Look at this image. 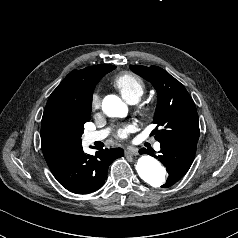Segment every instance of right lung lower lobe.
<instances>
[{
  "mask_svg": "<svg viewBox=\"0 0 238 238\" xmlns=\"http://www.w3.org/2000/svg\"><path fill=\"white\" fill-rule=\"evenodd\" d=\"M124 156L121 148L100 149L95 156L79 149L63 164L51 169L56 180L67 190L87 194L98 190L107 178L108 166Z\"/></svg>",
  "mask_w": 238,
  "mask_h": 238,
  "instance_id": "right-lung-lower-lobe-1",
  "label": "right lung lower lobe"
}]
</instances>
